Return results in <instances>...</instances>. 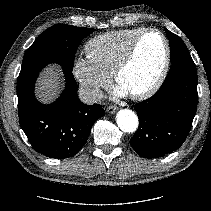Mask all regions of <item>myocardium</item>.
<instances>
[{
    "label": "myocardium",
    "mask_w": 211,
    "mask_h": 211,
    "mask_svg": "<svg viewBox=\"0 0 211 211\" xmlns=\"http://www.w3.org/2000/svg\"><path fill=\"white\" fill-rule=\"evenodd\" d=\"M148 33H157L161 37L164 44V60L160 72L154 82L146 89L137 93L130 94V96L135 100H145L154 95L162 86L170 68L171 50L166 35L157 28H144L136 35L127 52L116 65L113 71L114 81L119 84L121 75L134 61L142 38Z\"/></svg>",
    "instance_id": "1"
}]
</instances>
